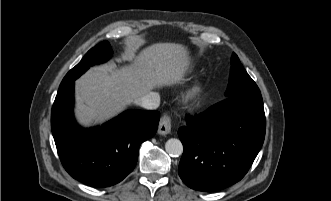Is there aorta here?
I'll list each match as a JSON object with an SVG mask.
<instances>
[{
	"label": "aorta",
	"mask_w": 331,
	"mask_h": 201,
	"mask_svg": "<svg viewBox=\"0 0 331 201\" xmlns=\"http://www.w3.org/2000/svg\"><path fill=\"white\" fill-rule=\"evenodd\" d=\"M166 152L173 157H178L183 153V145L179 139L171 138L165 144Z\"/></svg>",
	"instance_id": "obj_1"
}]
</instances>
